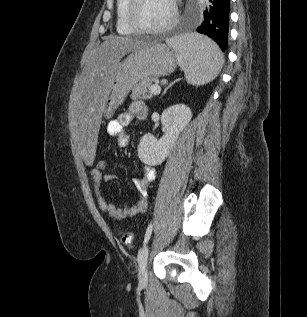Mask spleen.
I'll return each instance as SVG.
<instances>
[{
  "mask_svg": "<svg viewBox=\"0 0 307 317\" xmlns=\"http://www.w3.org/2000/svg\"><path fill=\"white\" fill-rule=\"evenodd\" d=\"M167 44L174 49L176 61L189 84L204 85L219 74L223 55L208 37L196 33L182 35L168 40Z\"/></svg>",
  "mask_w": 307,
  "mask_h": 317,
  "instance_id": "spleen-1",
  "label": "spleen"
}]
</instances>
